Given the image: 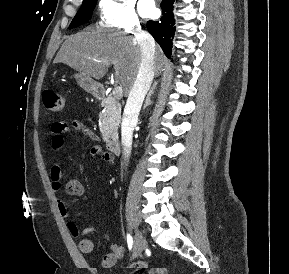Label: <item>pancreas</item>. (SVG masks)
Listing matches in <instances>:
<instances>
[{"mask_svg":"<svg viewBox=\"0 0 289 274\" xmlns=\"http://www.w3.org/2000/svg\"><path fill=\"white\" fill-rule=\"evenodd\" d=\"M104 111L99 114V128L105 141L117 135L121 120V110L115 97L108 96L102 100Z\"/></svg>","mask_w":289,"mask_h":274,"instance_id":"pancreas-1","label":"pancreas"}]
</instances>
